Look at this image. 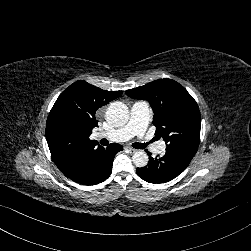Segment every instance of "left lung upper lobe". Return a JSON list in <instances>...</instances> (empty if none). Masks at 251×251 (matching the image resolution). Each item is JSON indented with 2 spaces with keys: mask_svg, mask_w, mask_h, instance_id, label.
Returning <instances> with one entry per match:
<instances>
[{
  "mask_svg": "<svg viewBox=\"0 0 251 251\" xmlns=\"http://www.w3.org/2000/svg\"><path fill=\"white\" fill-rule=\"evenodd\" d=\"M134 99L147 100L153 111L156 137L167 148L195 154L200 141L201 117L196 101L178 82L159 79L126 91Z\"/></svg>",
  "mask_w": 251,
  "mask_h": 251,
  "instance_id": "5c2ea615",
  "label": "left lung upper lobe"
}]
</instances>
